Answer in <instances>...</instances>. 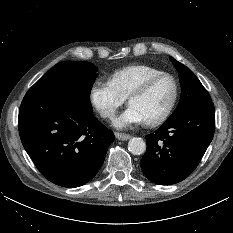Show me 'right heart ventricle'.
<instances>
[{
  "label": "right heart ventricle",
  "instance_id": "obj_1",
  "mask_svg": "<svg viewBox=\"0 0 233 233\" xmlns=\"http://www.w3.org/2000/svg\"><path fill=\"white\" fill-rule=\"evenodd\" d=\"M162 72L147 64H131L114 71L110 81L124 97H128L130 92L146 78Z\"/></svg>",
  "mask_w": 233,
  "mask_h": 233
}]
</instances>
